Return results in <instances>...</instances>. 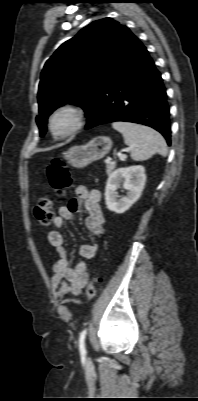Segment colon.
Here are the masks:
<instances>
[{
    "mask_svg": "<svg viewBox=\"0 0 198 401\" xmlns=\"http://www.w3.org/2000/svg\"><path fill=\"white\" fill-rule=\"evenodd\" d=\"M46 175L51 187L58 194L64 195L72 185V177L66 165L60 159H53L46 167ZM34 215L37 222L42 226L51 223L54 216V203L48 198H41L34 208ZM98 278L94 277L86 286V297L92 299L96 295V284Z\"/></svg>",
    "mask_w": 198,
    "mask_h": 401,
    "instance_id": "5ec220e1",
    "label": "colon"
}]
</instances>
